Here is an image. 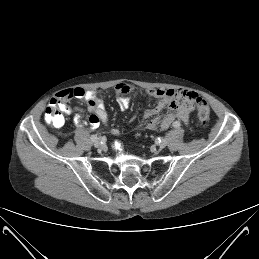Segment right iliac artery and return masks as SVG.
<instances>
[{
	"label": "right iliac artery",
	"instance_id": "right-iliac-artery-1",
	"mask_svg": "<svg viewBox=\"0 0 259 259\" xmlns=\"http://www.w3.org/2000/svg\"><path fill=\"white\" fill-rule=\"evenodd\" d=\"M97 139V136L96 135H91V140L94 141Z\"/></svg>",
	"mask_w": 259,
	"mask_h": 259
}]
</instances>
